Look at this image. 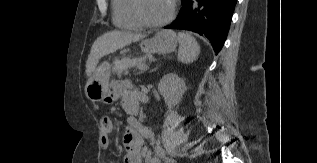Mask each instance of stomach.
<instances>
[{
  "instance_id": "0dacf381",
  "label": "stomach",
  "mask_w": 317,
  "mask_h": 163,
  "mask_svg": "<svg viewBox=\"0 0 317 163\" xmlns=\"http://www.w3.org/2000/svg\"><path fill=\"white\" fill-rule=\"evenodd\" d=\"M177 36L173 31L162 30L151 39L141 41L140 48L145 54L171 53L176 49ZM110 66L100 65L88 80L85 87L86 97L92 102H102L109 91Z\"/></svg>"
}]
</instances>
